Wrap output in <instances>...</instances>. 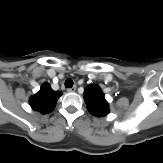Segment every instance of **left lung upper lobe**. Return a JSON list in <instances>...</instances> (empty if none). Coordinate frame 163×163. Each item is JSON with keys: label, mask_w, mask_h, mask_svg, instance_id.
Masks as SVG:
<instances>
[{"label": "left lung upper lobe", "mask_w": 163, "mask_h": 163, "mask_svg": "<svg viewBox=\"0 0 163 163\" xmlns=\"http://www.w3.org/2000/svg\"><path fill=\"white\" fill-rule=\"evenodd\" d=\"M84 100L88 111L94 116L101 117L109 113L108 103L97 85H88L84 89Z\"/></svg>", "instance_id": "5c2ea615"}]
</instances>
